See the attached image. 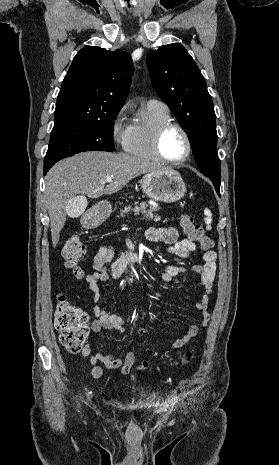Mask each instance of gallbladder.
Segmentation results:
<instances>
[{
  "label": "gallbladder",
  "instance_id": "gallbladder-1",
  "mask_svg": "<svg viewBox=\"0 0 279 465\" xmlns=\"http://www.w3.org/2000/svg\"><path fill=\"white\" fill-rule=\"evenodd\" d=\"M67 209L70 218H78L85 210V201L82 196L72 198L67 204Z\"/></svg>",
  "mask_w": 279,
  "mask_h": 465
}]
</instances>
